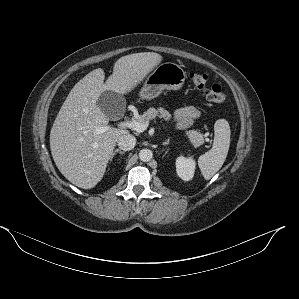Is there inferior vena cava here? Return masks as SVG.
Instances as JSON below:
<instances>
[{
	"label": "inferior vena cava",
	"mask_w": 299,
	"mask_h": 299,
	"mask_svg": "<svg viewBox=\"0 0 299 299\" xmlns=\"http://www.w3.org/2000/svg\"><path fill=\"white\" fill-rule=\"evenodd\" d=\"M117 143L120 149L124 151H129L135 147L136 138L129 133L123 134L122 136L119 137Z\"/></svg>",
	"instance_id": "1"
}]
</instances>
